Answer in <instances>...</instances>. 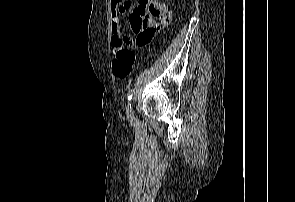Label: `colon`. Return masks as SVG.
I'll return each instance as SVG.
<instances>
[{
  "label": "colon",
  "mask_w": 295,
  "mask_h": 202,
  "mask_svg": "<svg viewBox=\"0 0 295 202\" xmlns=\"http://www.w3.org/2000/svg\"><path fill=\"white\" fill-rule=\"evenodd\" d=\"M123 43L127 44L128 40L124 39ZM134 60L135 55L132 50L124 45L117 48L115 50L114 59L112 61L113 75L120 79H125L126 77H128L132 71Z\"/></svg>",
  "instance_id": "obj_1"
}]
</instances>
